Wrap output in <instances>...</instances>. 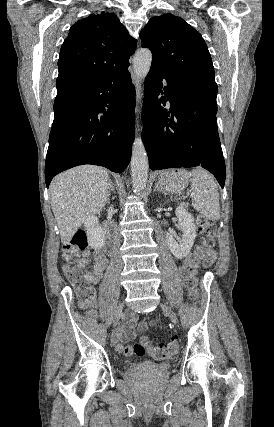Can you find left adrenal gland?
Masks as SVG:
<instances>
[{
    "label": "left adrenal gland",
    "mask_w": 274,
    "mask_h": 427,
    "mask_svg": "<svg viewBox=\"0 0 274 427\" xmlns=\"http://www.w3.org/2000/svg\"><path fill=\"white\" fill-rule=\"evenodd\" d=\"M154 192H162V190H160V188H158V186H156V188H154Z\"/></svg>",
    "instance_id": "obj_1"
}]
</instances>
